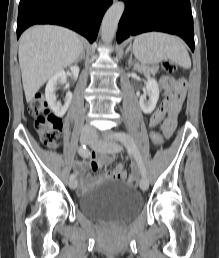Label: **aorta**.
Instances as JSON below:
<instances>
[{"mask_svg":"<svg viewBox=\"0 0 219 258\" xmlns=\"http://www.w3.org/2000/svg\"><path fill=\"white\" fill-rule=\"evenodd\" d=\"M124 9V2L117 1L105 13L101 26V38L104 43H110L114 39Z\"/></svg>","mask_w":219,"mask_h":258,"instance_id":"1","label":"aorta"}]
</instances>
